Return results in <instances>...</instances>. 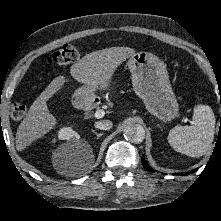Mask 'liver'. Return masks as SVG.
Here are the masks:
<instances>
[{"mask_svg": "<svg viewBox=\"0 0 221 221\" xmlns=\"http://www.w3.org/2000/svg\"><path fill=\"white\" fill-rule=\"evenodd\" d=\"M135 54L129 47H111L89 53L70 68L72 77L88 86L91 91L105 89L112 80L115 70L126 59ZM68 80L64 76L54 78L48 87L30 106L16 133V144L24 150L32 142L48 133L57 124L49 112L47 101L56 94Z\"/></svg>", "mask_w": 221, "mask_h": 221, "instance_id": "6515ba94", "label": "liver"}]
</instances>
